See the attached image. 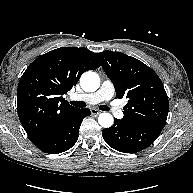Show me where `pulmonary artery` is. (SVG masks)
Wrapping results in <instances>:
<instances>
[{
  "instance_id": "obj_1",
  "label": "pulmonary artery",
  "mask_w": 193,
  "mask_h": 193,
  "mask_svg": "<svg viewBox=\"0 0 193 193\" xmlns=\"http://www.w3.org/2000/svg\"><path fill=\"white\" fill-rule=\"evenodd\" d=\"M115 93L114 85L111 81L105 80L101 87L93 93L74 96V99L85 101L89 104H96L102 101H109ZM111 111L116 118H122L123 112L117 106H112Z\"/></svg>"
}]
</instances>
